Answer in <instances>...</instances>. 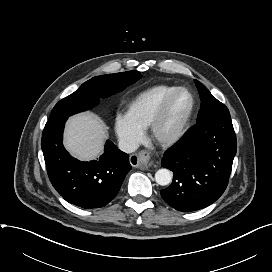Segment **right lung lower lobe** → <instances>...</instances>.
I'll list each match as a JSON object with an SVG mask.
<instances>
[{"label": "right lung lower lobe", "instance_id": "98d812e1", "mask_svg": "<svg viewBox=\"0 0 272 272\" xmlns=\"http://www.w3.org/2000/svg\"><path fill=\"white\" fill-rule=\"evenodd\" d=\"M67 118L48 121L43 130L41 147L50 181L69 203L85 209L103 207L117 195L130 171L129 156L108 140L98 160L73 158L62 144Z\"/></svg>", "mask_w": 272, "mask_h": 272}]
</instances>
